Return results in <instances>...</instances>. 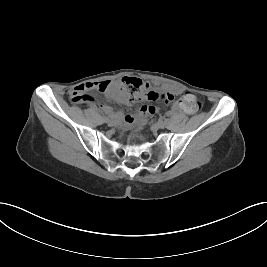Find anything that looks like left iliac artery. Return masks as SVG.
I'll list each match as a JSON object with an SVG mask.
<instances>
[{
    "label": "left iliac artery",
    "mask_w": 267,
    "mask_h": 267,
    "mask_svg": "<svg viewBox=\"0 0 267 267\" xmlns=\"http://www.w3.org/2000/svg\"><path fill=\"white\" fill-rule=\"evenodd\" d=\"M165 123H168L169 122V119L168 118H163L162 119Z\"/></svg>",
    "instance_id": "1"
}]
</instances>
